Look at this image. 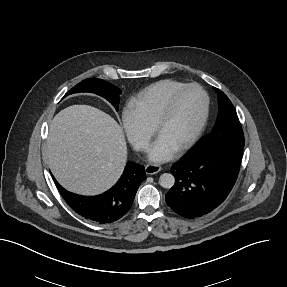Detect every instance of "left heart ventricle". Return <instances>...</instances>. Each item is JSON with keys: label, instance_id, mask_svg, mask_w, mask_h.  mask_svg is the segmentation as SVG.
I'll return each mask as SVG.
<instances>
[{"label": "left heart ventricle", "instance_id": "left-heart-ventricle-1", "mask_svg": "<svg viewBox=\"0 0 287 287\" xmlns=\"http://www.w3.org/2000/svg\"><path fill=\"white\" fill-rule=\"evenodd\" d=\"M203 108V96L196 89L182 93L174 103L169 119L159 131L158 138L176 149L197 126Z\"/></svg>", "mask_w": 287, "mask_h": 287}]
</instances>
